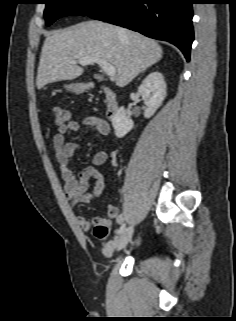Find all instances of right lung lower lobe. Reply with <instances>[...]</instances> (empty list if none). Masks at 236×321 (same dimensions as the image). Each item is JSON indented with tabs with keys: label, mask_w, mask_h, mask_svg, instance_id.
<instances>
[{
	"label": "right lung lower lobe",
	"mask_w": 236,
	"mask_h": 321,
	"mask_svg": "<svg viewBox=\"0 0 236 321\" xmlns=\"http://www.w3.org/2000/svg\"><path fill=\"white\" fill-rule=\"evenodd\" d=\"M193 0H111L89 17L177 46L187 61L193 42Z\"/></svg>",
	"instance_id": "98d812e1"
}]
</instances>
